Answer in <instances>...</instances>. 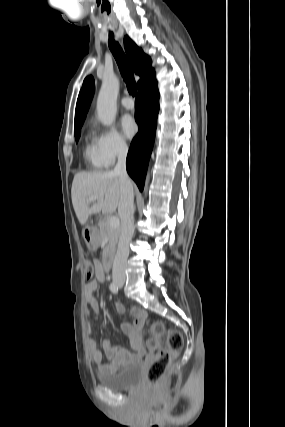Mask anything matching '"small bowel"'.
<instances>
[{
	"instance_id": "obj_1",
	"label": "small bowel",
	"mask_w": 285,
	"mask_h": 427,
	"mask_svg": "<svg viewBox=\"0 0 285 427\" xmlns=\"http://www.w3.org/2000/svg\"><path fill=\"white\" fill-rule=\"evenodd\" d=\"M95 277L90 280L84 287V296L86 302L89 306V311L87 313V322H88V345L89 352L93 362L97 365L100 371L102 372H112L122 366L135 362L142 358L144 355V349L142 346V334L141 329L143 323L147 317V312L140 307H132L131 314L133 316V322H125L121 325V330L125 336L130 340V344L133 352H130L118 344L113 342L111 339H105L103 341V348L106 356L109 358L110 363H103V356L101 350L98 348L95 339L91 334V329L89 327L90 323V313L93 312L96 315H99V301L94 296L99 283L105 281V272L106 268L100 261H95ZM114 308L119 314L125 312L123 304L120 302L114 303Z\"/></svg>"
}]
</instances>
